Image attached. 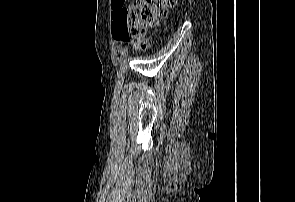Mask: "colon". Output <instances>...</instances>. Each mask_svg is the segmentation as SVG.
<instances>
[{
  "label": "colon",
  "mask_w": 295,
  "mask_h": 202,
  "mask_svg": "<svg viewBox=\"0 0 295 202\" xmlns=\"http://www.w3.org/2000/svg\"><path fill=\"white\" fill-rule=\"evenodd\" d=\"M176 0H136L115 16L114 35L118 41H130L144 47V36L156 29L161 19L167 17Z\"/></svg>",
  "instance_id": "5ec220e1"
}]
</instances>
